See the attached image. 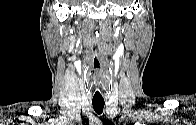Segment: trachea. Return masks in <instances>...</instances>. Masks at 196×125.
<instances>
[{"mask_svg":"<svg viewBox=\"0 0 196 125\" xmlns=\"http://www.w3.org/2000/svg\"><path fill=\"white\" fill-rule=\"evenodd\" d=\"M104 104H105L104 100H96V99L92 100L93 108L97 114H101L103 112Z\"/></svg>","mask_w":196,"mask_h":125,"instance_id":"obj_1","label":"trachea"}]
</instances>
